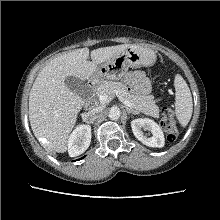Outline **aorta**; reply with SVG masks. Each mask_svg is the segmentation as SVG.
<instances>
[{"label":"aorta","instance_id":"1","mask_svg":"<svg viewBox=\"0 0 220 220\" xmlns=\"http://www.w3.org/2000/svg\"><path fill=\"white\" fill-rule=\"evenodd\" d=\"M120 115H121V112H120V109L118 107H112L109 110L108 116L111 120H118L120 118Z\"/></svg>","mask_w":220,"mask_h":220}]
</instances>
